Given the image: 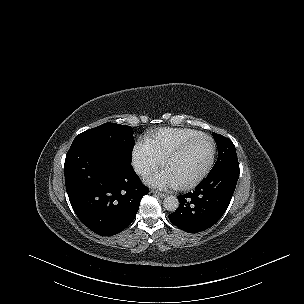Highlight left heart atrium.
Listing matches in <instances>:
<instances>
[{"label":"left heart atrium","mask_w":304,"mask_h":304,"mask_svg":"<svg viewBox=\"0 0 304 304\" xmlns=\"http://www.w3.org/2000/svg\"><path fill=\"white\" fill-rule=\"evenodd\" d=\"M145 182L158 189H173L177 187V182L165 171L146 176Z\"/></svg>","instance_id":"1"}]
</instances>
